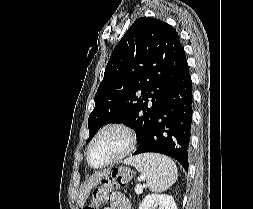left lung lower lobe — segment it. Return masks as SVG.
Returning <instances> with one entry per match:
<instances>
[{"instance_id": "left-lung-lower-lobe-1", "label": "left lung lower lobe", "mask_w": 253, "mask_h": 209, "mask_svg": "<svg viewBox=\"0 0 253 209\" xmlns=\"http://www.w3.org/2000/svg\"><path fill=\"white\" fill-rule=\"evenodd\" d=\"M192 97L191 77L185 60L165 96L149 134L134 155L161 153L176 159L188 171Z\"/></svg>"}]
</instances>
